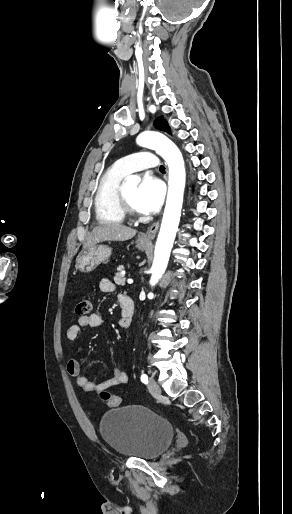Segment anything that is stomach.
<instances>
[{"label": "stomach", "instance_id": "stomach-1", "mask_svg": "<svg viewBox=\"0 0 292 514\" xmlns=\"http://www.w3.org/2000/svg\"><path fill=\"white\" fill-rule=\"evenodd\" d=\"M136 244L138 250H145L146 246H149L151 242H140V240H137ZM111 250L112 248H108V246H90V248H85L76 258L77 270H80V272H92L99 264H104V262L109 260L112 254Z\"/></svg>", "mask_w": 292, "mask_h": 514}]
</instances>
